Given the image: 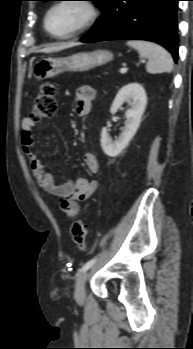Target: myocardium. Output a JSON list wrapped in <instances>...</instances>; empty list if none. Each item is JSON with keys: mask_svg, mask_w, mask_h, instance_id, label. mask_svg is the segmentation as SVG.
Here are the masks:
<instances>
[{"mask_svg": "<svg viewBox=\"0 0 193 349\" xmlns=\"http://www.w3.org/2000/svg\"><path fill=\"white\" fill-rule=\"evenodd\" d=\"M67 3H79V4L83 5L88 11V17L80 26H78L77 28H75L71 32L66 33V34H62V35L54 34L50 31V29L48 27L49 16H50L51 12L56 7L63 5V4H67ZM99 16H100V9L97 6V4L92 0H59L55 3H53L47 9L45 16H44V28H45L46 32L51 37H53L55 39H59V40H66V39L76 37V36L80 35L81 33H83L84 31H86L88 28H90L97 21Z\"/></svg>", "mask_w": 193, "mask_h": 349, "instance_id": "1", "label": "myocardium"}]
</instances>
